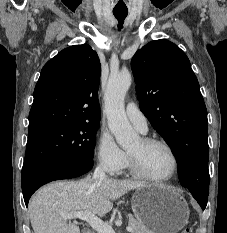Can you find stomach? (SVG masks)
<instances>
[{"mask_svg": "<svg viewBox=\"0 0 227 233\" xmlns=\"http://www.w3.org/2000/svg\"><path fill=\"white\" fill-rule=\"evenodd\" d=\"M132 210L151 233H177L189 222L184 198L165 185H148L132 196Z\"/></svg>", "mask_w": 227, "mask_h": 233, "instance_id": "stomach-1", "label": "stomach"}]
</instances>
